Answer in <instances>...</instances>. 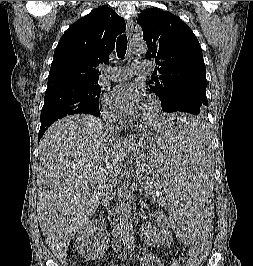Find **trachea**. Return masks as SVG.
<instances>
[{"label":"trachea","mask_w":253,"mask_h":266,"mask_svg":"<svg viewBox=\"0 0 253 266\" xmlns=\"http://www.w3.org/2000/svg\"><path fill=\"white\" fill-rule=\"evenodd\" d=\"M126 50H127V37L126 35L123 34L117 38L116 42L117 56L123 59L125 57Z\"/></svg>","instance_id":"trachea-1"}]
</instances>
